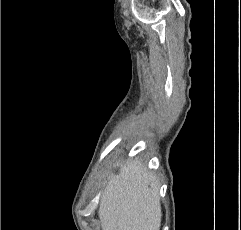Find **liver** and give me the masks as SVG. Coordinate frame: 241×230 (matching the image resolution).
Listing matches in <instances>:
<instances>
[{
    "mask_svg": "<svg viewBox=\"0 0 241 230\" xmlns=\"http://www.w3.org/2000/svg\"><path fill=\"white\" fill-rule=\"evenodd\" d=\"M98 215L102 230L160 229L158 187L145 166L130 161L122 166L118 176L105 183Z\"/></svg>",
    "mask_w": 241,
    "mask_h": 230,
    "instance_id": "obj_1",
    "label": "liver"
}]
</instances>
